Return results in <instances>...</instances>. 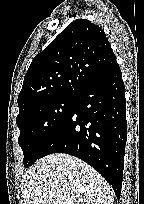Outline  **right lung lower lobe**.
Masks as SVG:
<instances>
[{"label": "right lung lower lobe", "instance_id": "obj_1", "mask_svg": "<svg viewBox=\"0 0 144 204\" xmlns=\"http://www.w3.org/2000/svg\"><path fill=\"white\" fill-rule=\"evenodd\" d=\"M125 88L116 64L83 88L42 157L67 153L87 162L120 198L127 139Z\"/></svg>", "mask_w": 144, "mask_h": 204}]
</instances>
